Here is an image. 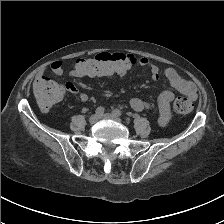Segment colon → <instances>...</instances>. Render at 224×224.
I'll return each instance as SVG.
<instances>
[{
  "label": "colon",
  "instance_id": "colon-1",
  "mask_svg": "<svg viewBox=\"0 0 224 224\" xmlns=\"http://www.w3.org/2000/svg\"><path fill=\"white\" fill-rule=\"evenodd\" d=\"M129 68L128 60L119 53H100L92 58L79 59L74 67L82 77L126 74ZM33 91L38 104L44 110L52 108L64 95V87L49 78L37 80ZM173 109L178 115H187L192 111L193 104L188 97L181 96L175 99Z\"/></svg>",
  "mask_w": 224,
  "mask_h": 224
}]
</instances>
